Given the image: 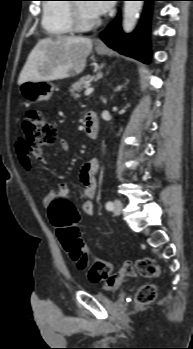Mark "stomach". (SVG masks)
Wrapping results in <instances>:
<instances>
[{
	"instance_id": "obj_1",
	"label": "stomach",
	"mask_w": 193,
	"mask_h": 349,
	"mask_svg": "<svg viewBox=\"0 0 193 349\" xmlns=\"http://www.w3.org/2000/svg\"><path fill=\"white\" fill-rule=\"evenodd\" d=\"M99 55H106L108 49L97 48ZM19 91L25 101L35 103L40 101H47L51 98L54 86L49 81H25L19 85Z\"/></svg>"
}]
</instances>
